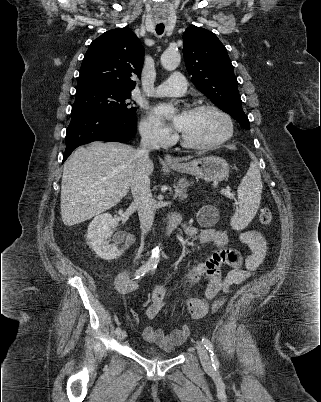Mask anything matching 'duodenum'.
I'll return each mask as SVG.
<instances>
[{"label":"duodenum","instance_id":"obj_1","mask_svg":"<svg viewBox=\"0 0 321 402\" xmlns=\"http://www.w3.org/2000/svg\"><path fill=\"white\" fill-rule=\"evenodd\" d=\"M182 223L181 215L174 211L168 214L166 223L163 228V234L169 236L171 232Z\"/></svg>","mask_w":321,"mask_h":402}]
</instances>
